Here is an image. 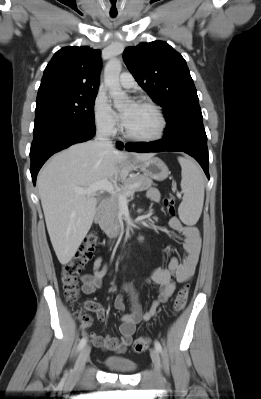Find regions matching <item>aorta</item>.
<instances>
[{"label": "aorta", "instance_id": "1", "mask_svg": "<svg viewBox=\"0 0 261 399\" xmlns=\"http://www.w3.org/2000/svg\"><path fill=\"white\" fill-rule=\"evenodd\" d=\"M121 70L122 64L118 58L109 59L104 70V81L117 109H121L128 102V96L119 82Z\"/></svg>", "mask_w": 261, "mask_h": 399}]
</instances>
